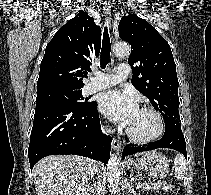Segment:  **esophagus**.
<instances>
[{
  "mask_svg": "<svg viewBox=\"0 0 211 195\" xmlns=\"http://www.w3.org/2000/svg\"><path fill=\"white\" fill-rule=\"evenodd\" d=\"M104 15H105V19L108 23V29L110 31L111 26H110V19H111V5L110 3L106 2L104 5ZM121 142H119L116 139L112 140V148L114 149V151L119 152L121 150Z\"/></svg>",
  "mask_w": 211,
  "mask_h": 195,
  "instance_id": "esophagus-1",
  "label": "esophagus"
}]
</instances>
